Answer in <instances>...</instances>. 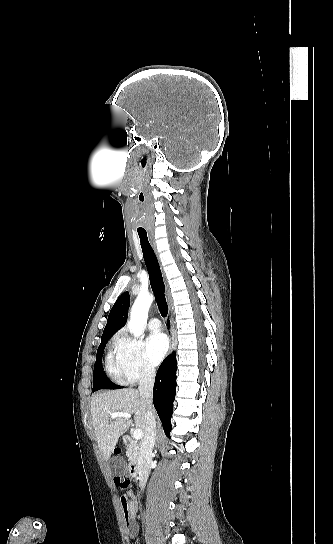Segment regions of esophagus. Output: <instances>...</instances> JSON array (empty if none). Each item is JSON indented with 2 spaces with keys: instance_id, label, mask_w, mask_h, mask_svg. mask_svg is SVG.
Returning a JSON list of instances; mask_svg holds the SVG:
<instances>
[{
  "instance_id": "obj_1",
  "label": "esophagus",
  "mask_w": 333,
  "mask_h": 544,
  "mask_svg": "<svg viewBox=\"0 0 333 544\" xmlns=\"http://www.w3.org/2000/svg\"><path fill=\"white\" fill-rule=\"evenodd\" d=\"M152 245H153V248H154V251L159 259V256H158V252H157V249H156V244L154 241H152ZM165 286H166V299H167V303H168V315L165 319V326L167 328V331L169 333V336H170V341H171V351L174 349V347L176 346V338L173 334V326H172V309H173V306H172V297H171V293H170V289L168 287V284L165 282Z\"/></svg>"
}]
</instances>
